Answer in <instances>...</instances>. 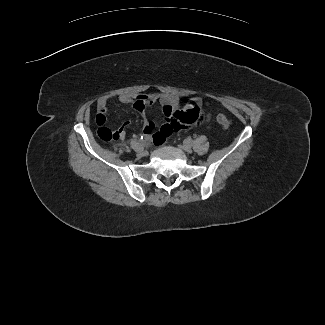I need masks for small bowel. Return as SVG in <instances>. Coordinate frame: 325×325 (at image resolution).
I'll return each instance as SVG.
<instances>
[{
	"instance_id": "c3829d8e",
	"label": "small bowel",
	"mask_w": 325,
	"mask_h": 325,
	"mask_svg": "<svg viewBox=\"0 0 325 325\" xmlns=\"http://www.w3.org/2000/svg\"><path fill=\"white\" fill-rule=\"evenodd\" d=\"M112 95L102 96L97 103L96 124L99 127H105L107 121V106L112 99ZM120 103L131 104L136 112L142 117L143 132L151 136L157 143L165 141L174 131L187 129L191 125L208 120L210 114H204L202 107L208 104L199 97L192 98L185 106V109L178 111L182 96L172 93H148V94H119L116 96ZM159 103L164 116L165 124L159 132H156V123L153 119L146 116V109ZM130 125V121H124L118 130H120L119 138L125 136V129Z\"/></svg>"
}]
</instances>
